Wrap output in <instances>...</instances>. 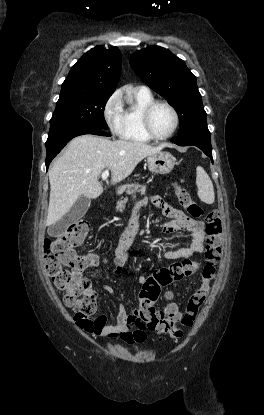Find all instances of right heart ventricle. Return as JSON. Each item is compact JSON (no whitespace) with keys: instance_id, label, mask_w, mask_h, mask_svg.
<instances>
[{"instance_id":"1","label":"right heart ventricle","mask_w":264,"mask_h":415,"mask_svg":"<svg viewBox=\"0 0 264 415\" xmlns=\"http://www.w3.org/2000/svg\"><path fill=\"white\" fill-rule=\"evenodd\" d=\"M134 102L123 108V124L120 137L131 142H150L152 139L146 135L141 122L142 109L152 101L154 96L150 91L136 90L133 94Z\"/></svg>"}]
</instances>
